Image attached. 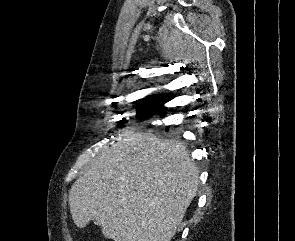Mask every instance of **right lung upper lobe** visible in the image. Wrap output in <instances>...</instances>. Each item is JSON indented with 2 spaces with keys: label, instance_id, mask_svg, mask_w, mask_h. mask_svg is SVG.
<instances>
[{
  "label": "right lung upper lobe",
  "instance_id": "1",
  "mask_svg": "<svg viewBox=\"0 0 295 241\" xmlns=\"http://www.w3.org/2000/svg\"><path fill=\"white\" fill-rule=\"evenodd\" d=\"M173 98L174 95L169 94L148 96L137 105V109L151 113L162 112L165 110L163 104Z\"/></svg>",
  "mask_w": 295,
  "mask_h": 241
}]
</instances>
